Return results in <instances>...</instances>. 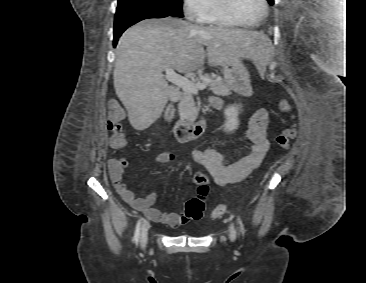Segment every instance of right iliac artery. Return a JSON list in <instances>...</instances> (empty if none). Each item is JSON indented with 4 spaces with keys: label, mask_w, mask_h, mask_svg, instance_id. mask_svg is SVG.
<instances>
[{
    "label": "right iliac artery",
    "mask_w": 366,
    "mask_h": 283,
    "mask_svg": "<svg viewBox=\"0 0 366 283\" xmlns=\"http://www.w3.org/2000/svg\"><path fill=\"white\" fill-rule=\"evenodd\" d=\"M141 222H142V218H140L136 224L135 233H134V237H133V242H135V243H137L139 240Z\"/></svg>",
    "instance_id": "82829eb1"
}]
</instances>
